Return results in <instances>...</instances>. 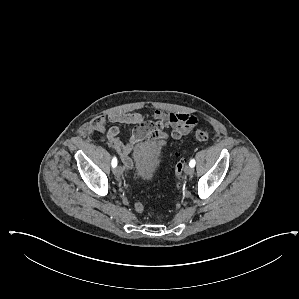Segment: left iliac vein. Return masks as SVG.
I'll return each instance as SVG.
<instances>
[{
    "label": "left iliac vein",
    "instance_id": "1",
    "mask_svg": "<svg viewBox=\"0 0 299 299\" xmlns=\"http://www.w3.org/2000/svg\"><path fill=\"white\" fill-rule=\"evenodd\" d=\"M185 173L187 174V175H192L193 173H194V169H193V167H190V166H186L185 167Z\"/></svg>",
    "mask_w": 299,
    "mask_h": 299
}]
</instances>
